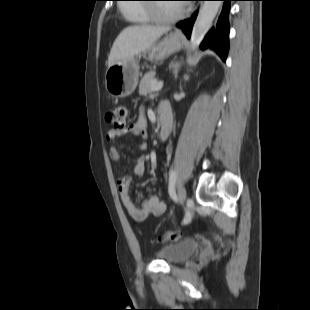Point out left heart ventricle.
I'll use <instances>...</instances> for the list:
<instances>
[{"mask_svg": "<svg viewBox=\"0 0 310 310\" xmlns=\"http://www.w3.org/2000/svg\"><path fill=\"white\" fill-rule=\"evenodd\" d=\"M182 8L179 7V5L176 4H161L159 6V10L161 11V13L163 14H171V13H175L179 10H181Z\"/></svg>", "mask_w": 310, "mask_h": 310, "instance_id": "left-heart-ventricle-1", "label": "left heart ventricle"}]
</instances>
